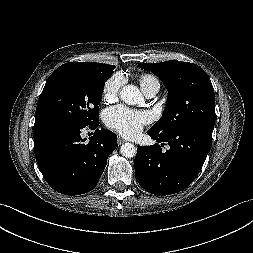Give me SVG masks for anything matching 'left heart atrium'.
Listing matches in <instances>:
<instances>
[{"mask_svg":"<svg viewBox=\"0 0 253 253\" xmlns=\"http://www.w3.org/2000/svg\"><path fill=\"white\" fill-rule=\"evenodd\" d=\"M150 120L148 112L132 110L125 106L110 108L104 115V121L108 127L130 138L137 136Z\"/></svg>","mask_w":253,"mask_h":253,"instance_id":"left-heart-atrium-1","label":"left heart atrium"}]
</instances>
